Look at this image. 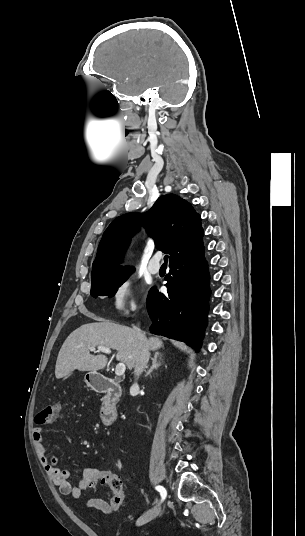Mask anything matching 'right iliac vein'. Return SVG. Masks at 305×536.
<instances>
[{
	"label": "right iliac vein",
	"instance_id": "63e3f726",
	"mask_svg": "<svg viewBox=\"0 0 305 536\" xmlns=\"http://www.w3.org/2000/svg\"><path fill=\"white\" fill-rule=\"evenodd\" d=\"M159 512H160V507H157V508L153 509L152 511L142 515L137 520V525L141 526V525L146 524L147 522L153 520L154 518H156L158 516Z\"/></svg>",
	"mask_w": 305,
	"mask_h": 536
}]
</instances>
